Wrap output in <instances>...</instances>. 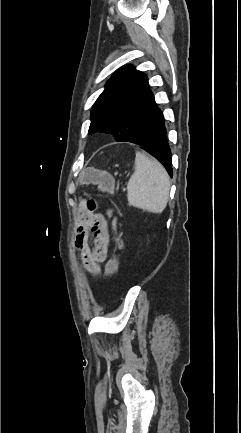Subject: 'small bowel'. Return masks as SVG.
<instances>
[{"mask_svg":"<svg viewBox=\"0 0 241 433\" xmlns=\"http://www.w3.org/2000/svg\"><path fill=\"white\" fill-rule=\"evenodd\" d=\"M91 201L96 202L94 197L87 195L79 204L75 216V243L80 251L83 267L90 274L97 276L101 272L100 265L108 257L111 245L109 218L112 213H108L109 218L100 213H94L96 209L91 210L89 206ZM113 225H116L115 220H113ZM90 234L93 238L92 248L89 245ZM117 246L120 249L123 247V241L120 238L117 239Z\"/></svg>","mask_w":241,"mask_h":433,"instance_id":"c3829d8e","label":"small bowel"}]
</instances>
